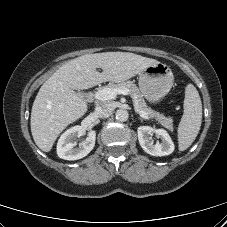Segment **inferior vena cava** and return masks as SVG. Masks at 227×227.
I'll return each instance as SVG.
<instances>
[{
    "mask_svg": "<svg viewBox=\"0 0 227 227\" xmlns=\"http://www.w3.org/2000/svg\"><path fill=\"white\" fill-rule=\"evenodd\" d=\"M113 112V105L110 102H103L95 107V113L100 118H107Z\"/></svg>",
    "mask_w": 227,
    "mask_h": 227,
    "instance_id": "obj_1",
    "label": "inferior vena cava"
}]
</instances>
